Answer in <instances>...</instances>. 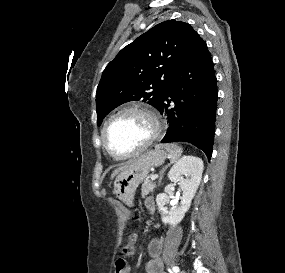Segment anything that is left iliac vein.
Listing matches in <instances>:
<instances>
[{"mask_svg": "<svg viewBox=\"0 0 285 273\" xmlns=\"http://www.w3.org/2000/svg\"><path fill=\"white\" fill-rule=\"evenodd\" d=\"M180 273H186L184 270H182Z\"/></svg>", "mask_w": 285, "mask_h": 273, "instance_id": "left-iliac-vein-1", "label": "left iliac vein"}]
</instances>
